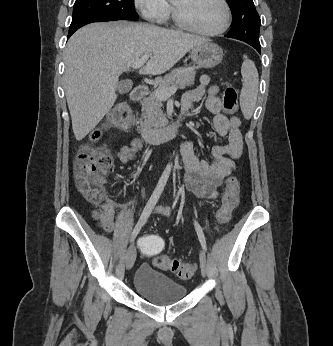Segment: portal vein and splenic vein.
Listing matches in <instances>:
<instances>
[{
    "label": "portal vein and splenic vein",
    "mask_w": 333,
    "mask_h": 346,
    "mask_svg": "<svg viewBox=\"0 0 333 346\" xmlns=\"http://www.w3.org/2000/svg\"><path fill=\"white\" fill-rule=\"evenodd\" d=\"M150 55L146 54V55H143L138 61H136L135 63H133L131 65V67L133 69H137V68H140L142 67L146 62L147 60L149 59ZM177 90V86L176 85H173L171 86L170 88H163V89H159L156 91V95L158 98L162 99V100H165V99H168L172 94H174Z\"/></svg>",
    "instance_id": "1"
}]
</instances>
